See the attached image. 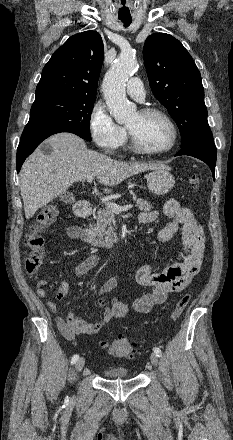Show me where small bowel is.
Returning a JSON list of instances; mask_svg holds the SVG:
<instances>
[{"mask_svg":"<svg viewBox=\"0 0 233 440\" xmlns=\"http://www.w3.org/2000/svg\"><path fill=\"white\" fill-rule=\"evenodd\" d=\"M163 213L170 218V222L158 232L157 239L159 241L170 240L177 232L179 225H182L183 249L178 254L177 260L158 272L154 270L151 264L140 266L135 274V279L140 285L149 288V290L143 296L134 300L131 305L122 304L116 298L108 304L103 295L117 286L118 278L113 276L103 282L98 289L97 300L98 305L103 309V316L97 323H85L73 312H68L64 318L60 315L56 302L47 301L46 306L56 316L57 327L65 338L71 340L78 336L95 335L112 319L123 318L130 311L148 313L154 306L162 304L169 294L184 290L199 273L206 246L203 227L193 211L188 207H182L176 199H169L165 203ZM158 217L159 212L157 210H149L142 212L139 215V220L141 223L148 224L154 222ZM67 235L73 240L78 239L77 228H68ZM98 264V255H88L74 267L75 277L85 276ZM46 284L45 279L37 281L36 293L40 298L47 295ZM68 290V283L65 281L60 282L56 299L58 301L64 299Z\"/></svg>","mask_w":233,"mask_h":440,"instance_id":"1","label":"small bowel"}]
</instances>
